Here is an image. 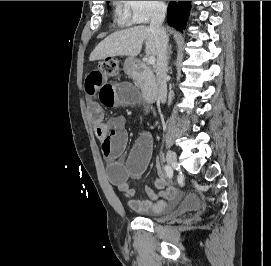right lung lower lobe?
Segmentation results:
<instances>
[{"label": "right lung lower lobe", "instance_id": "right-lung-lower-lobe-1", "mask_svg": "<svg viewBox=\"0 0 271 266\" xmlns=\"http://www.w3.org/2000/svg\"><path fill=\"white\" fill-rule=\"evenodd\" d=\"M191 1H170L167 10V22L177 30L186 26L187 18L191 8Z\"/></svg>", "mask_w": 271, "mask_h": 266}]
</instances>
